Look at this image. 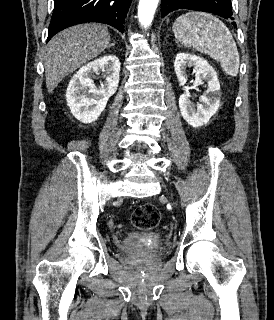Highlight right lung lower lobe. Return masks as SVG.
Wrapping results in <instances>:
<instances>
[{"label": "right lung lower lobe", "mask_w": 274, "mask_h": 320, "mask_svg": "<svg viewBox=\"0 0 274 320\" xmlns=\"http://www.w3.org/2000/svg\"><path fill=\"white\" fill-rule=\"evenodd\" d=\"M131 1L55 0L47 41L69 26L87 22L108 24L123 33V24Z\"/></svg>", "instance_id": "98d812e1"}]
</instances>
